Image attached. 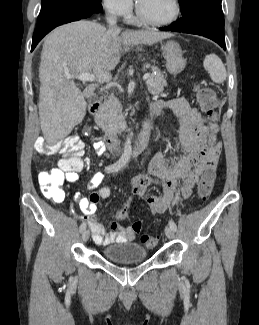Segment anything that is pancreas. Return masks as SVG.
<instances>
[{
    "mask_svg": "<svg viewBox=\"0 0 259 325\" xmlns=\"http://www.w3.org/2000/svg\"><path fill=\"white\" fill-rule=\"evenodd\" d=\"M156 74L151 75L146 85L152 95H159L167 86L166 79L158 67H152ZM123 118L122 106L119 99L111 94L100 107L99 113L95 116L96 124L106 133L117 134L121 131L120 120Z\"/></svg>",
    "mask_w": 259,
    "mask_h": 325,
    "instance_id": "cf45deb5",
    "label": "pancreas"
}]
</instances>
